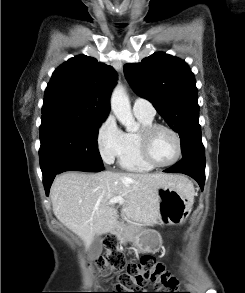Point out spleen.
Listing matches in <instances>:
<instances>
[{
  "label": "spleen",
  "mask_w": 245,
  "mask_h": 293,
  "mask_svg": "<svg viewBox=\"0 0 245 293\" xmlns=\"http://www.w3.org/2000/svg\"><path fill=\"white\" fill-rule=\"evenodd\" d=\"M189 186H190L192 192L194 193V188H193V186H192V184L190 182H189Z\"/></svg>",
  "instance_id": "1"
}]
</instances>
